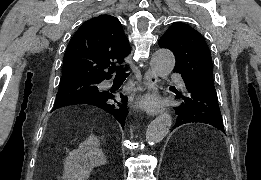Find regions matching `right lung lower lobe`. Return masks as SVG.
Wrapping results in <instances>:
<instances>
[{
    "label": "right lung lower lobe",
    "instance_id": "right-lung-lower-lobe-1",
    "mask_svg": "<svg viewBox=\"0 0 261 180\" xmlns=\"http://www.w3.org/2000/svg\"><path fill=\"white\" fill-rule=\"evenodd\" d=\"M113 101L117 102L113 94L109 92H99L95 95H74L59 103H55L53 110L70 104L95 105L112 114L123 127L128 114L126 107L127 98L121 95V102H117V105L113 104Z\"/></svg>",
    "mask_w": 261,
    "mask_h": 180
}]
</instances>
